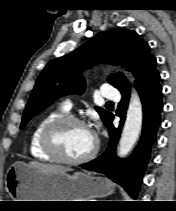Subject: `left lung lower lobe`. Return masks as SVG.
<instances>
[{"label": "left lung lower lobe", "instance_id": "obj_1", "mask_svg": "<svg viewBox=\"0 0 176 211\" xmlns=\"http://www.w3.org/2000/svg\"><path fill=\"white\" fill-rule=\"evenodd\" d=\"M159 80L158 74L137 88L143 105L144 119L142 137L132 156L127 160H121L115 154L130 97V92H124L116 111L117 116L121 118L120 126L118 128L113 126V115L106 123L110 135L108 148L97 159L81 165L84 169L105 174L124 187L133 198L138 195L143 173L150 157V146L156 139V132L160 125L163 103Z\"/></svg>", "mask_w": 176, "mask_h": 211}]
</instances>
